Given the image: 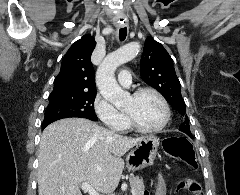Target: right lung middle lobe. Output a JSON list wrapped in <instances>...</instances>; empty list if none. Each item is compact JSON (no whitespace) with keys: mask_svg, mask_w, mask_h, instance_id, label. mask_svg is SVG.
Masks as SVG:
<instances>
[{"mask_svg":"<svg viewBox=\"0 0 240 195\" xmlns=\"http://www.w3.org/2000/svg\"><path fill=\"white\" fill-rule=\"evenodd\" d=\"M95 96L96 93L50 95L43 126H47L56 120L69 117L87 118L96 121L97 117L93 106Z\"/></svg>","mask_w":240,"mask_h":195,"instance_id":"1","label":"right lung middle lobe"}]
</instances>
